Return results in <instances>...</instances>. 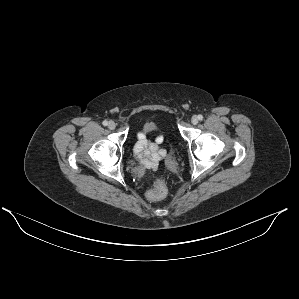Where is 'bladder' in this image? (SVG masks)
<instances>
[{
  "label": "bladder",
  "mask_w": 299,
  "mask_h": 299,
  "mask_svg": "<svg viewBox=\"0 0 299 299\" xmlns=\"http://www.w3.org/2000/svg\"><path fill=\"white\" fill-rule=\"evenodd\" d=\"M157 129H158V126L155 122L148 121V122H145L143 124V126L141 127L139 133H143V134L147 135V134L153 133Z\"/></svg>",
  "instance_id": "31cf9c89"
}]
</instances>
